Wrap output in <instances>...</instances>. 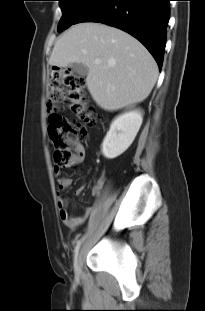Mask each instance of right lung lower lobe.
Wrapping results in <instances>:
<instances>
[{
    "label": "right lung lower lobe",
    "instance_id": "98d812e1",
    "mask_svg": "<svg viewBox=\"0 0 205 311\" xmlns=\"http://www.w3.org/2000/svg\"><path fill=\"white\" fill-rule=\"evenodd\" d=\"M170 0H93L80 22H99L119 28L137 38L152 54L161 70Z\"/></svg>",
    "mask_w": 205,
    "mask_h": 311
}]
</instances>
